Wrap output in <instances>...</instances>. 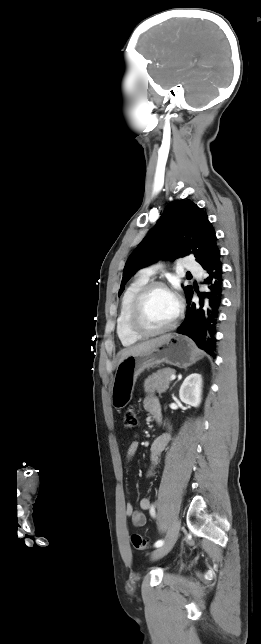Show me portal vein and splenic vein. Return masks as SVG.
<instances>
[{"label": "portal vein and splenic vein", "mask_w": 261, "mask_h": 644, "mask_svg": "<svg viewBox=\"0 0 261 644\" xmlns=\"http://www.w3.org/2000/svg\"><path fill=\"white\" fill-rule=\"evenodd\" d=\"M175 379H176V375L175 374L171 375L170 380H175Z\"/></svg>", "instance_id": "portal-vein-and-splenic-vein-1"}]
</instances>
